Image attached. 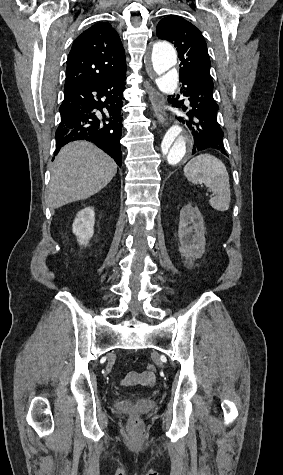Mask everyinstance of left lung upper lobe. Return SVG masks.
Returning <instances> with one entry per match:
<instances>
[{
  "label": "left lung upper lobe",
  "mask_w": 283,
  "mask_h": 475,
  "mask_svg": "<svg viewBox=\"0 0 283 475\" xmlns=\"http://www.w3.org/2000/svg\"><path fill=\"white\" fill-rule=\"evenodd\" d=\"M157 36L174 43L180 63V76H194L212 81L210 58L203 35L192 23L176 15L161 19L156 28Z\"/></svg>",
  "instance_id": "obj_1"
}]
</instances>
